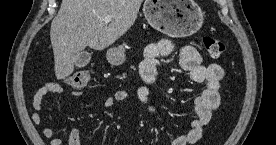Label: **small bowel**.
I'll return each instance as SVG.
<instances>
[{
    "label": "small bowel",
    "instance_id": "small-bowel-1",
    "mask_svg": "<svg viewBox=\"0 0 276 145\" xmlns=\"http://www.w3.org/2000/svg\"><path fill=\"white\" fill-rule=\"evenodd\" d=\"M174 51V44L168 39H161L157 42L147 45L144 51V58L139 64V74L144 82L135 94V101L143 105L150 113L154 114L158 120L156 109L148 103L149 90L148 85L153 83L156 77V66L160 56H169ZM180 67L189 72L193 81L204 84L201 94L194 100V109L196 118L191 123V128L187 133L176 137L171 145H191L195 144L202 136L205 126L209 123L212 113L221 103L219 94L220 82L224 76V71L219 64H202V59L192 46L184 45L179 50ZM64 89L56 82H48L36 91L32 99V107L35 112L31 115L34 124L39 125L42 122L41 111L43 109L44 97L49 93H62ZM71 94L74 97H81L83 93L80 90H73ZM130 99V94L124 90L115 92L105 98L103 105L106 108L113 106L117 102H123ZM43 136L49 141L50 145H64L63 141L56 137L55 131L46 127L43 130ZM68 145H81V130L72 128L69 132Z\"/></svg>",
    "mask_w": 276,
    "mask_h": 145
}]
</instances>
